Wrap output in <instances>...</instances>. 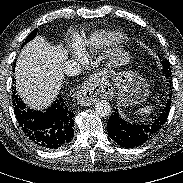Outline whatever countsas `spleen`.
<instances>
[{
  "mask_svg": "<svg viewBox=\"0 0 183 183\" xmlns=\"http://www.w3.org/2000/svg\"><path fill=\"white\" fill-rule=\"evenodd\" d=\"M153 110V107L152 106H146L144 108H139L136 113L139 114V115H147V114H150Z\"/></svg>",
  "mask_w": 183,
  "mask_h": 183,
  "instance_id": "spleen-1",
  "label": "spleen"
}]
</instances>
